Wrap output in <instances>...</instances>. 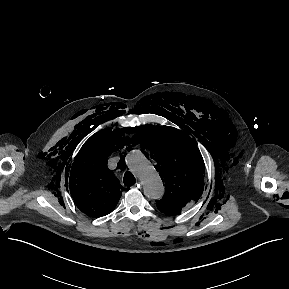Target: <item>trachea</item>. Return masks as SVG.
I'll return each mask as SVG.
<instances>
[{"label": "trachea", "instance_id": "trachea-1", "mask_svg": "<svg viewBox=\"0 0 289 289\" xmlns=\"http://www.w3.org/2000/svg\"><path fill=\"white\" fill-rule=\"evenodd\" d=\"M123 182L126 186H132L136 183V179L134 177V175L127 171L125 174H124V177H123Z\"/></svg>", "mask_w": 289, "mask_h": 289}]
</instances>
